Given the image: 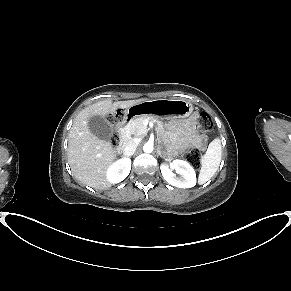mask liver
<instances>
[{
    "label": "liver",
    "instance_id": "6515ba94",
    "mask_svg": "<svg viewBox=\"0 0 291 291\" xmlns=\"http://www.w3.org/2000/svg\"><path fill=\"white\" fill-rule=\"evenodd\" d=\"M147 99L117 101L103 100L82 110L69 132L68 163L72 174L84 185L105 190L111 187L106 170L116 158L110 142L98 139L88 127V120L95 115L106 116L117 109H127Z\"/></svg>",
    "mask_w": 291,
    "mask_h": 291
}]
</instances>
